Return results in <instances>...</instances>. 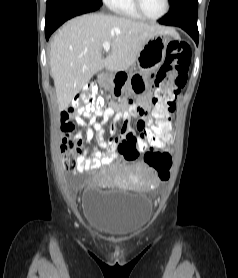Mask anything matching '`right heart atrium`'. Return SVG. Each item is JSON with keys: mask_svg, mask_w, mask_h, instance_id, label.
<instances>
[{"mask_svg": "<svg viewBox=\"0 0 238 278\" xmlns=\"http://www.w3.org/2000/svg\"><path fill=\"white\" fill-rule=\"evenodd\" d=\"M107 6H110L114 0H103Z\"/></svg>", "mask_w": 238, "mask_h": 278, "instance_id": "right-heart-atrium-1", "label": "right heart atrium"}]
</instances>
